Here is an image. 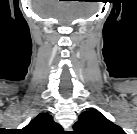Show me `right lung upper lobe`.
Wrapping results in <instances>:
<instances>
[{
  "mask_svg": "<svg viewBox=\"0 0 137 134\" xmlns=\"http://www.w3.org/2000/svg\"><path fill=\"white\" fill-rule=\"evenodd\" d=\"M62 130V127L54 122L51 115L40 113L21 132L23 134H58Z\"/></svg>",
  "mask_w": 137,
  "mask_h": 134,
  "instance_id": "obj_1",
  "label": "right lung upper lobe"
}]
</instances>
